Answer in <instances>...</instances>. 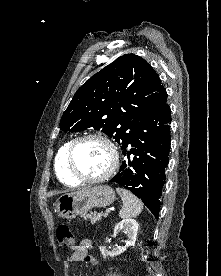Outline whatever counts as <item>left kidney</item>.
<instances>
[{"mask_svg": "<svg viewBox=\"0 0 221 276\" xmlns=\"http://www.w3.org/2000/svg\"><path fill=\"white\" fill-rule=\"evenodd\" d=\"M138 228L139 224L134 219H123L120 221L114 229V234L123 232L127 235L128 239L125 241V246H118L113 249V251H108L105 246H101L100 251L103 258L106 259L109 256L114 257L120 255L127 249V247L134 246L137 238Z\"/></svg>", "mask_w": 221, "mask_h": 276, "instance_id": "obj_1", "label": "left kidney"}]
</instances>
